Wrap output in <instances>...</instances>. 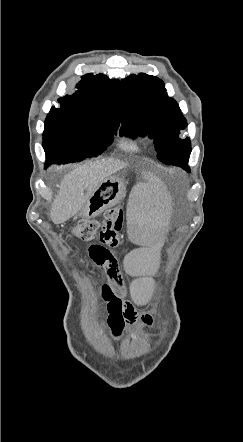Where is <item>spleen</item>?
<instances>
[{
	"label": "spleen",
	"mask_w": 243,
	"mask_h": 442,
	"mask_svg": "<svg viewBox=\"0 0 243 442\" xmlns=\"http://www.w3.org/2000/svg\"><path fill=\"white\" fill-rule=\"evenodd\" d=\"M141 181L144 183H134L125 200L129 202L126 212L130 219L127 235L131 242L146 248L145 254H133L128 261L131 274H141V281L130 287V296H136L139 307H146L156 291V278L150 274H158L164 256L163 249L154 248L166 241L163 226H173V217H169L172 202L162 182H157L158 174L145 171Z\"/></svg>",
	"instance_id": "3e777b00"
}]
</instances>
